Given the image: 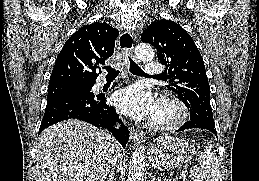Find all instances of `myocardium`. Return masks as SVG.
<instances>
[{"instance_id": "myocardium-1", "label": "myocardium", "mask_w": 259, "mask_h": 181, "mask_svg": "<svg viewBox=\"0 0 259 181\" xmlns=\"http://www.w3.org/2000/svg\"><path fill=\"white\" fill-rule=\"evenodd\" d=\"M159 105L169 109L171 117L166 120H151L149 125L154 130L168 131L181 126L188 117V110L184 102L172 94H165L159 100Z\"/></svg>"}]
</instances>
